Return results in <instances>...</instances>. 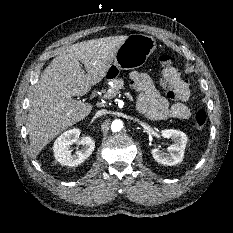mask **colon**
Instances as JSON below:
<instances>
[{"label":"colon","mask_w":233,"mask_h":233,"mask_svg":"<svg viewBox=\"0 0 233 233\" xmlns=\"http://www.w3.org/2000/svg\"><path fill=\"white\" fill-rule=\"evenodd\" d=\"M160 64V76L164 88L167 90V96L171 100L177 101L180 94L176 89V84L182 78L180 72L173 66L171 57L167 54H162L158 58ZM195 125L199 130H202L207 125V114L204 110H199L194 116Z\"/></svg>","instance_id":"obj_1"}]
</instances>
